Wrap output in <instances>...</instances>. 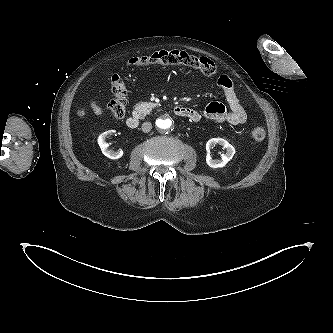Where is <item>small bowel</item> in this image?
Masks as SVG:
<instances>
[{
    "mask_svg": "<svg viewBox=\"0 0 333 333\" xmlns=\"http://www.w3.org/2000/svg\"><path fill=\"white\" fill-rule=\"evenodd\" d=\"M216 85L223 92L228 103V108L222 103L211 102L206 106L203 114H201L194 109L184 107L185 114L183 117L192 121H199L204 116L214 123L227 122L232 125L245 123L247 114L234 91L231 78L227 75H222L218 78Z\"/></svg>",
    "mask_w": 333,
    "mask_h": 333,
    "instance_id": "1",
    "label": "small bowel"
}]
</instances>
